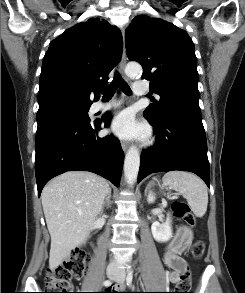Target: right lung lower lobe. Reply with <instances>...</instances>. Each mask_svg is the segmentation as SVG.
I'll list each match as a JSON object with an SVG mask.
<instances>
[{"instance_id": "right-lung-lower-lobe-1", "label": "right lung lower lobe", "mask_w": 245, "mask_h": 293, "mask_svg": "<svg viewBox=\"0 0 245 293\" xmlns=\"http://www.w3.org/2000/svg\"><path fill=\"white\" fill-rule=\"evenodd\" d=\"M101 121L66 122L36 136L35 171L38 195L53 177L67 171L94 172L119 186L124 153L114 136L100 138L96 133L110 124Z\"/></svg>"}]
</instances>
